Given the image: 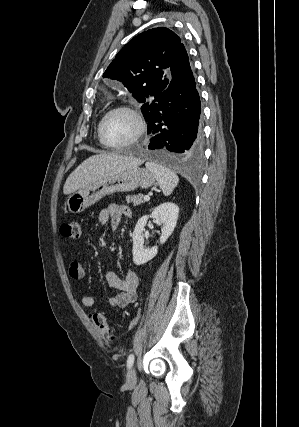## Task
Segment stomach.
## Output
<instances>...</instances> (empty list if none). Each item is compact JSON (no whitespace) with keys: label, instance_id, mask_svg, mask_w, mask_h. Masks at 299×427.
<instances>
[{"label":"stomach","instance_id":"0dacf381","mask_svg":"<svg viewBox=\"0 0 299 427\" xmlns=\"http://www.w3.org/2000/svg\"><path fill=\"white\" fill-rule=\"evenodd\" d=\"M155 184L154 175L147 169L134 167L100 179L71 194L66 206L73 214L83 212L107 195L131 192L138 187L150 188Z\"/></svg>","mask_w":299,"mask_h":427}]
</instances>
